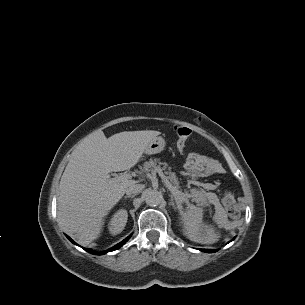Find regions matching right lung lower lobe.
<instances>
[{
	"label": "right lung lower lobe",
	"instance_id": "1",
	"mask_svg": "<svg viewBox=\"0 0 305 305\" xmlns=\"http://www.w3.org/2000/svg\"><path fill=\"white\" fill-rule=\"evenodd\" d=\"M66 236H67V235H66ZM67 238H68L72 243L76 244L69 236H67ZM129 238H130V236H128L126 239H124L122 242L118 243L117 245L113 246L112 248L106 250L105 252H101V253L95 252V251H93V250H91V249H89V248H83V249H84L85 251L91 253V254L102 255V254H105V253H107V252H111V251L117 250V249L120 248L122 245H124L125 242H127Z\"/></svg>",
	"mask_w": 305,
	"mask_h": 305
}]
</instances>
